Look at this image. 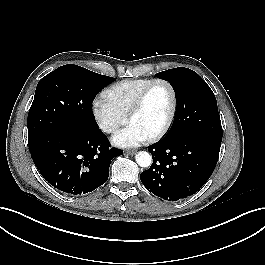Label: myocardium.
I'll return each mask as SVG.
<instances>
[{
    "label": "myocardium",
    "instance_id": "f54148a6",
    "mask_svg": "<svg viewBox=\"0 0 265 265\" xmlns=\"http://www.w3.org/2000/svg\"><path fill=\"white\" fill-rule=\"evenodd\" d=\"M157 84H163L168 88L171 96V107L165 124L162 126V128L159 131H157L155 134L150 136L149 139L151 141H157L163 138L169 132L174 122L177 111V95L174 86L166 79L162 78L153 79L140 91L127 115V121L130 122L132 117L141 110L150 90Z\"/></svg>",
    "mask_w": 265,
    "mask_h": 265
}]
</instances>
